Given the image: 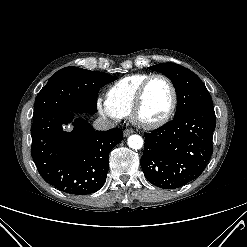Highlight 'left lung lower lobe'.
<instances>
[{
    "instance_id": "1",
    "label": "left lung lower lobe",
    "mask_w": 247,
    "mask_h": 247,
    "mask_svg": "<svg viewBox=\"0 0 247 247\" xmlns=\"http://www.w3.org/2000/svg\"><path fill=\"white\" fill-rule=\"evenodd\" d=\"M215 126L213 107H202L145 133L141 168L146 179L157 187L175 189L200 176L213 152Z\"/></svg>"
}]
</instances>
